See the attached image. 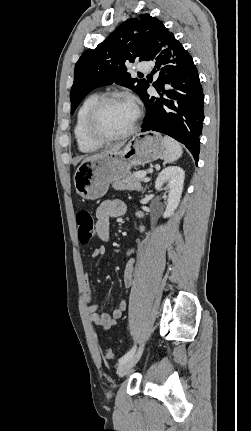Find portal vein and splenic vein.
Instances as JSON below:
<instances>
[{
    "label": "portal vein and splenic vein",
    "mask_w": 251,
    "mask_h": 431,
    "mask_svg": "<svg viewBox=\"0 0 251 431\" xmlns=\"http://www.w3.org/2000/svg\"><path fill=\"white\" fill-rule=\"evenodd\" d=\"M146 173L145 172H139V173H137V177H140V178H144V180L145 181H148V179L147 178H145L146 177Z\"/></svg>",
    "instance_id": "obj_1"
}]
</instances>
